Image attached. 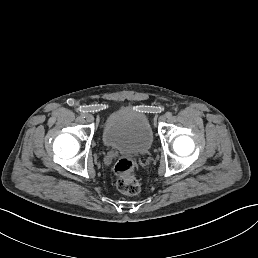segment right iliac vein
Returning <instances> with one entry per match:
<instances>
[{"instance_id":"63e3f726","label":"right iliac vein","mask_w":258,"mask_h":258,"mask_svg":"<svg viewBox=\"0 0 258 258\" xmlns=\"http://www.w3.org/2000/svg\"><path fill=\"white\" fill-rule=\"evenodd\" d=\"M85 120L88 122V123H91L94 121V116L91 115V114H88L86 117H85Z\"/></svg>"}]
</instances>
